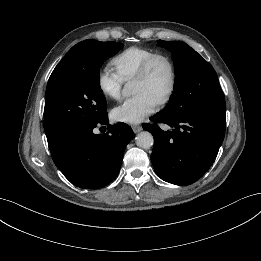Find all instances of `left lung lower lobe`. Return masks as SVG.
<instances>
[{"label":"left lung lower lobe","instance_id":"1","mask_svg":"<svg viewBox=\"0 0 261 261\" xmlns=\"http://www.w3.org/2000/svg\"><path fill=\"white\" fill-rule=\"evenodd\" d=\"M152 121L174 128L170 132L157 125L143 126L154 137L151 154L154 170L164 181L184 186L201 178L215 161L225 135L226 107L181 117L159 112Z\"/></svg>","mask_w":261,"mask_h":261}]
</instances>
